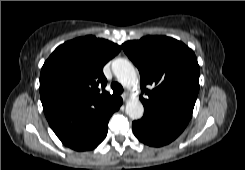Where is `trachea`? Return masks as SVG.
<instances>
[{"label": "trachea", "instance_id": "3493384b", "mask_svg": "<svg viewBox=\"0 0 245 170\" xmlns=\"http://www.w3.org/2000/svg\"><path fill=\"white\" fill-rule=\"evenodd\" d=\"M111 88L116 94H121L123 92V87L118 82H112Z\"/></svg>", "mask_w": 245, "mask_h": 170}]
</instances>
